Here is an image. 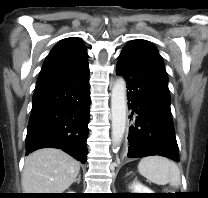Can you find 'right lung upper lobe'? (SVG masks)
Wrapping results in <instances>:
<instances>
[{
	"mask_svg": "<svg viewBox=\"0 0 208 198\" xmlns=\"http://www.w3.org/2000/svg\"><path fill=\"white\" fill-rule=\"evenodd\" d=\"M87 51L80 39L66 38L59 42L47 56L36 88L71 77L83 69L87 62Z\"/></svg>",
	"mask_w": 208,
	"mask_h": 198,
	"instance_id": "1",
	"label": "right lung upper lobe"
}]
</instances>
